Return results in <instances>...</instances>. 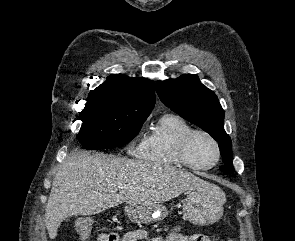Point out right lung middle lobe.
Segmentation results:
<instances>
[{"label":"right lung middle lobe","mask_w":295,"mask_h":241,"mask_svg":"<svg viewBox=\"0 0 295 241\" xmlns=\"http://www.w3.org/2000/svg\"><path fill=\"white\" fill-rule=\"evenodd\" d=\"M149 114L113 97L92 94L80 112L82 127L77 138L88 150L121 147L139 133Z\"/></svg>","instance_id":"obj_1"}]
</instances>
